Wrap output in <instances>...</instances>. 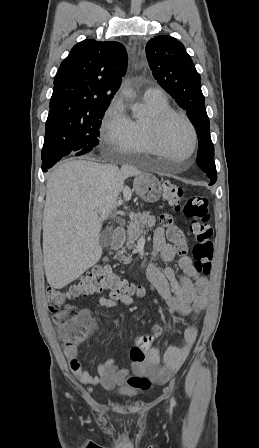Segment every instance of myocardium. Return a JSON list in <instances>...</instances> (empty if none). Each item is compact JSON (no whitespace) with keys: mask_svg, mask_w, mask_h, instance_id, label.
Masks as SVG:
<instances>
[{"mask_svg":"<svg viewBox=\"0 0 259 448\" xmlns=\"http://www.w3.org/2000/svg\"><path fill=\"white\" fill-rule=\"evenodd\" d=\"M173 119H180L188 126L192 137L190 160L195 161L197 157L196 148L198 143V134L195 125L184 112L169 110L151 118V142L153 147L155 149H165L163 143V131L165 126ZM145 154L149 153L146 151ZM155 171L162 170L155 169Z\"/></svg>","mask_w":259,"mask_h":448,"instance_id":"myocardium-1","label":"myocardium"}]
</instances>
